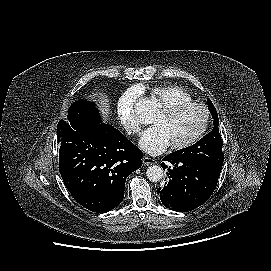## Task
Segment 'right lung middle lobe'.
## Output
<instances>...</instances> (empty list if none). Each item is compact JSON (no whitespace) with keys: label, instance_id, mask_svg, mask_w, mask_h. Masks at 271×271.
<instances>
[{"label":"right lung middle lobe","instance_id":"right-lung-middle-lobe-1","mask_svg":"<svg viewBox=\"0 0 271 271\" xmlns=\"http://www.w3.org/2000/svg\"><path fill=\"white\" fill-rule=\"evenodd\" d=\"M68 119L91 121L100 119L98 109L94 103L84 99L76 101L68 110Z\"/></svg>","mask_w":271,"mask_h":271}]
</instances>
